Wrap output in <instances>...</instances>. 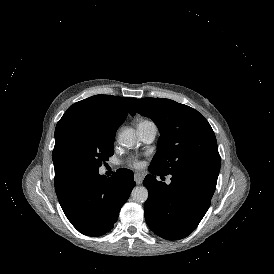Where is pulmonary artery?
I'll return each instance as SVG.
<instances>
[{"mask_svg":"<svg viewBox=\"0 0 274 274\" xmlns=\"http://www.w3.org/2000/svg\"><path fill=\"white\" fill-rule=\"evenodd\" d=\"M137 132L139 138L144 143H152L157 135V127L156 125L148 120L141 121L137 126ZM170 177L167 179V183H170Z\"/></svg>","mask_w":274,"mask_h":274,"instance_id":"e3ab8cb5","label":"pulmonary artery"}]
</instances>
